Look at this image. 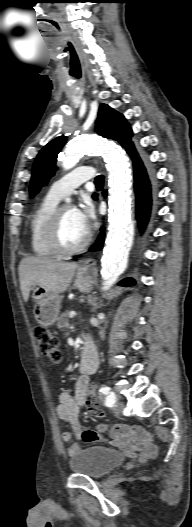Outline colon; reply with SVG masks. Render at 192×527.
Masks as SVG:
<instances>
[{"label":"colon","instance_id":"5ec220e1","mask_svg":"<svg viewBox=\"0 0 192 527\" xmlns=\"http://www.w3.org/2000/svg\"><path fill=\"white\" fill-rule=\"evenodd\" d=\"M33 334L41 354L48 357L53 362H59L61 360V353L59 350V341L55 334L41 325H37L33 328ZM86 405L91 416H103V410L98 396L93 389H89L87 393Z\"/></svg>","mask_w":192,"mask_h":527}]
</instances>
